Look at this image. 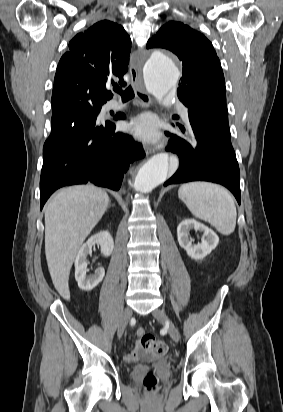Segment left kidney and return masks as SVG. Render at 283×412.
I'll return each instance as SVG.
<instances>
[{
	"label": "left kidney",
	"instance_id": "5707ae66",
	"mask_svg": "<svg viewBox=\"0 0 283 412\" xmlns=\"http://www.w3.org/2000/svg\"><path fill=\"white\" fill-rule=\"evenodd\" d=\"M194 229L203 231V239L197 245L193 244V240L189 238V232ZM177 236L179 245L186 250L189 257L194 260H201L216 248L219 243L218 235L207 226L195 221L194 219H186L177 227Z\"/></svg>",
	"mask_w": 283,
	"mask_h": 412
}]
</instances>
